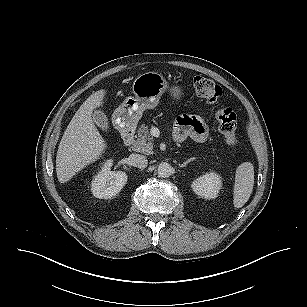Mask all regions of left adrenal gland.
Listing matches in <instances>:
<instances>
[{"label":"left adrenal gland","instance_id":"a2214340","mask_svg":"<svg viewBox=\"0 0 307 307\" xmlns=\"http://www.w3.org/2000/svg\"><path fill=\"white\" fill-rule=\"evenodd\" d=\"M193 160H194V158L188 159V160L185 161L183 164H181L180 167H186V165H187L188 163H190L191 161H193Z\"/></svg>","mask_w":307,"mask_h":307}]
</instances>
